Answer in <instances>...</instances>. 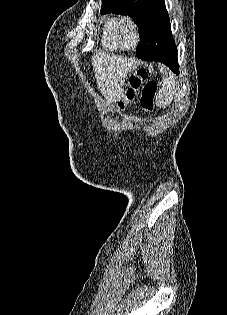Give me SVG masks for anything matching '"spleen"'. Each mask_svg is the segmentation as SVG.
Segmentation results:
<instances>
[{
	"mask_svg": "<svg viewBox=\"0 0 227 315\" xmlns=\"http://www.w3.org/2000/svg\"><path fill=\"white\" fill-rule=\"evenodd\" d=\"M174 81L172 77L164 79L161 90L158 93L157 103L158 105L165 107L170 104L174 96Z\"/></svg>",
	"mask_w": 227,
	"mask_h": 315,
	"instance_id": "obj_1",
	"label": "spleen"
}]
</instances>
